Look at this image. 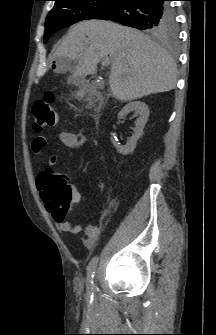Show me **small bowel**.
I'll return each mask as SVG.
<instances>
[{
    "instance_id": "obj_1",
    "label": "small bowel",
    "mask_w": 216,
    "mask_h": 335,
    "mask_svg": "<svg viewBox=\"0 0 216 335\" xmlns=\"http://www.w3.org/2000/svg\"><path fill=\"white\" fill-rule=\"evenodd\" d=\"M59 141L68 149L74 151H81L86 145V138L82 133L61 132L59 134ZM47 143L44 136H37L32 142V151L34 154H40ZM57 162V156H52L48 162L47 167L42 170L37 177V189L40 193L42 201L45 203L48 212L53 216L57 227L65 232L77 235L82 232L83 228L79 224L70 223L65 217V209L58 205V201L50 192L51 185L55 178H57L54 168ZM72 201L80 202L81 195L76 188H70ZM106 217L98 225L89 224L85 227V237L82 242L86 248H93L99 239Z\"/></svg>"
}]
</instances>
